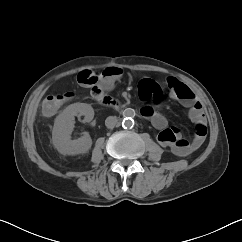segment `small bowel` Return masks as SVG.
<instances>
[{"label":"small bowel","instance_id":"1","mask_svg":"<svg viewBox=\"0 0 242 242\" xmlns=\"http://www.w3.org/2000/svg\"><path fill=\"white\" fill-rule=\"evenodd\" d=\"M122 75L123 71L121 68L115 66L107 67L99 75L96 85L92 87L94 97L101 96L105 91L113 89L116 81L119 80ZM178 86L184 87L187 96H179ZM166 87L168 88L170 98L180 101L185 107L189 108V118L195 124L196 128L204 129L205 133L201 134L200 130H195L192 140L185 139L179 129L176 127H170L166 118L150 105L142 107L141 115L148 119L159 131L157 139L161 145L172 146L177 155L187 156L202 145L207 134L203 107L202 104L196 100V96L192 90L176 78H168L166 80ZM139 96L144 101L152 98V96H144L140 91Z\"/></svg>","mask_w":242,"mask_h":242}]
</instances>
